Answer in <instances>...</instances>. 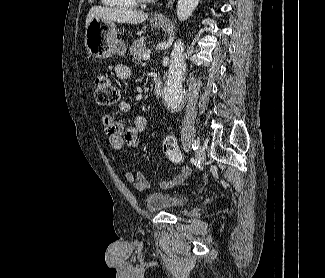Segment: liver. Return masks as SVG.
<instances>
[{
    "label": "liver",
    "mask_w": 325,
    "mask_h": 278,
    "mask_svg": "<svg viewBox=\"0 0 325 278\" xmlns=\"http://www.w3.org/2000/svg\"><path fill=\"white\" fill-rule=\"evenodd\" d=\"M95 17L119 23L139 24L147 19L148 14L131 9L93 6L87 15L86 27Z\"/></svg>",
    "instance_id": "obj_1"
}]
</instances>
